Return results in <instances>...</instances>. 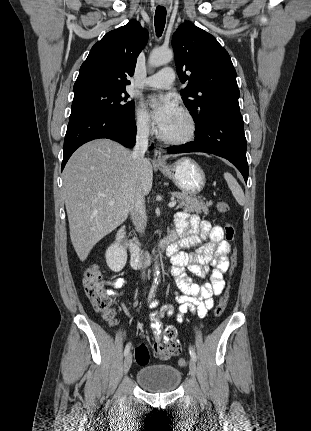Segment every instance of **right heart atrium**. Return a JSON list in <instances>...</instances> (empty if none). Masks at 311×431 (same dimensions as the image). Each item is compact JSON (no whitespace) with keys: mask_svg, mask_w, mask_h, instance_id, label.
Here are the masks:
<instances>
[{"mask_svg":"<svg viewBox=\"0 0 311 431\" xmlns=\"http://www.w3.org/2000/svg\"><path fill=\"white\" fill-rule=\"evenodd\" d=\"M132 124L135 132L142 137L151 136L155 129L150 116L140 105L133 109Z\"/></svg>","mask_w":311,"mask_h":431,"instance_id":"d8ad5b80","label":"right heart atrium"}]
</instances>
